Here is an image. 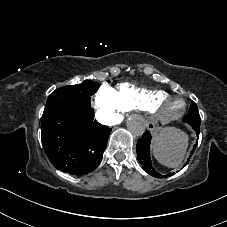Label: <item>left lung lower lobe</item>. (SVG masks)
Listing matches in <instances>:
<instances>
[{"mask_svg":"<svg viewBox=\"0 0 227 227\" xmlns=\"http://www.w3.org/2000/svg\"><path fill=\"white\" fill-rule=\"evenodd\" d=\"M191 126L195 130L197 137H199L200 126H197V125H191ZM150 143H151L150 131L144 132L143 136L137 142V148H136L137 157L139 162L142 164L144 170L156 178H164L167 176H171V175H161L152 166L151 159H150ZM195 148H196V145L193 147V150L191 153L194 152ZM189 159L187 160L186 164L188 163Z\"/></svg>","mask_w":227,"mask_h":227,"instance_id":"obj_1","label":"left lung lower lobe"}]
</instances>
